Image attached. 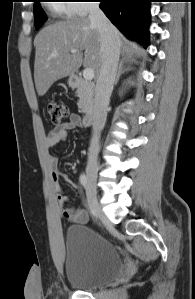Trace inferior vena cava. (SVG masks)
<instances>
[{
  "label": "inferior vena cava",
  "mask_w": 195,
  "mask_h": 299,
  "mask_svg": "<svg viewBox=\"0 0 195 299\" xmlns=\"http://www.w3.org/2000/svg\"><path fill=\"white\" fill-rule=\"evenodd\" d=\"M88 8V18L91 23L96 24L99 31L102 52L101 69L95 87V99L92 112L93 134L90 140L87 162L88 166L96 167L99 153L100 133L106 123L107 107L117 74L120 41L117 29L102 12L99 3L92 2L89 4Z\"/></svg>",
  "instance_id": "obj_1"
}]
</instances>
